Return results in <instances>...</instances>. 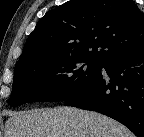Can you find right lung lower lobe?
Instances as JSON below:
<instances>
[{"label":"right lung lower lobe","mask_w":144,"mask_h":137,"mask_svg":"<svg viewBox=\"0 0 144 137\" xmlns=\"http://www.w3.org/2000/svg\"><path fill=\"white\" fill-rule=\"evenodd\" d=\"M97 80L65 105L96 111L144 137V46L103 64Z\"/></svg>","instance_id":"right-lung-lower-lobe-1"}]
</instances>
